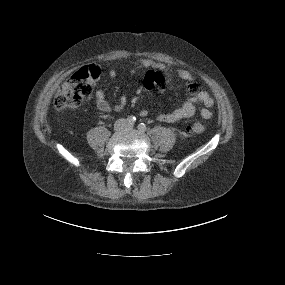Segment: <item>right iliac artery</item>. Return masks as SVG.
<instances>
[{"instance_id":"obj_1","label":"right iliac artery","mask_w":285,"mask_h":285,"mask_svg":"<svg viewBox=\"0 0 285 285\" xmlns=\"http://www.w3.org/2000/svg\"><path fill=\"white\" fill-rule=\"evenodd\" d=\"M135 121H136V118L134 116H130V117L127 118V122L129 124L133 125L135 123Z\"/></svg>"}]
</instances>
